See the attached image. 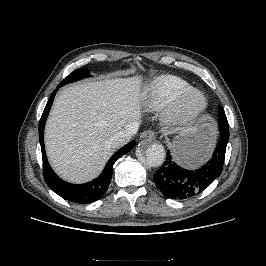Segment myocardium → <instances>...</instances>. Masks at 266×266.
I'll return each instance as SVG.
<instances>
[{
    "label": "myocardium",
    "mask_w": 266,
    "mask_h": 266,
    "mask_svg": "<svg viewBox=\"0 0 266 266\" xmlns=\"http://www.w3.org/2000/svg\"><path fill=\"white\" fill-rule=\"evenodd\" d=\"M190 99L197 102L189 104ZM208 107L205 93L197 88H188L180 92L164 109V118L168 121H190L201 116Z\"/></svg>",
    "instance_id": "1"
}]
</instances>
